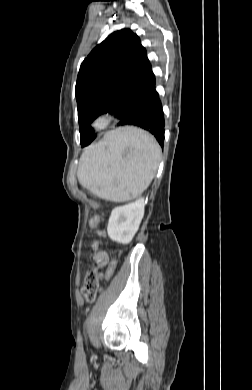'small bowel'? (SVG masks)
I'll return each mask as SVG.
<instances>
[{"mask_svg": "<svg viewBox=\"0 0 252 390\" xmlns=\"http://www.w3.org/2000/svg\"><path fill=\"white\" fill-rule=\"evenodd\" d=\"M91 225L94 226V227L97 226V225L95 224V222H94L93 219H92V221H91ZM95 258H96L98 264L101 265V266H105V265L108 263V260H109V259H108V255H107L106 253H104V252H102V253L96 255ZM110 275H111V272H108L106 276H104L103 274H100V277H101L102 279H103V278L108 279V278L110 277Z\"/></svg>", "mask_w": 252, "mask_h": 390, "instance_id": "1", "label": "small bowel"}]
</instances>
